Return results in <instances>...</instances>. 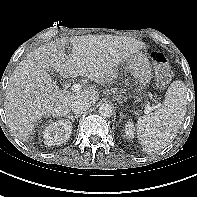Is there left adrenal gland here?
I'll list each match as a JSON object with an SVG mask.
<instances>
[{"label":"left adrenal gland","mask_w":197,"mask_h":197,"mask_svg":"<svg viewBox=\"0 0 197 197\" xmlns=\"http://www.w3.org/2000/svg\"><path fill=\"white\" fill-rule=\"evenodd\" d=\"M120 116H121V118H123V117H124L123 112H121V113H120Z\"/></svg>","instance_id":"left-adrenal-gland-1"}]
</instances>
